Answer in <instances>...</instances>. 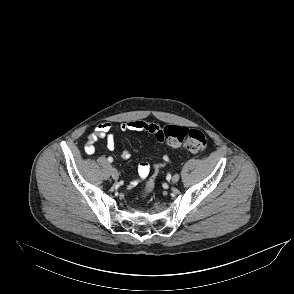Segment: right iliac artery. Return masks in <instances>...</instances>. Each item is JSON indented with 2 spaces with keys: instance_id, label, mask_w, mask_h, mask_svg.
Masks as SVG:
<instances>
[{
  "instance_id": "obj_1",
  "label": "right iliac artery",
  "mask_w": 294,
  "mask_h": 294,
  "mask_svg": "<svg viewBox=\"0 0 294 294\" xmlns=\"http://www.w3.org/2000/svg\"><path fill=\"white\" fill-rule=\"evenodd\" d=\"M108 161L111 163L113 161V158L112 157H109L108 158Z\"/></svg>"
}]
</instances>
